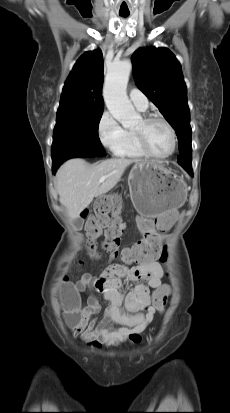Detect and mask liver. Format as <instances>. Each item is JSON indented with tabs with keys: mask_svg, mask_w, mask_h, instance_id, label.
I'll return each instance as SVG.
<instances>
[{
	"mask_svg": "<svg viewBox=\"0 0 230 413\" xmlns=\"http://www.w3.org/2000/svg\"><path fill=\"white\" fill-rule=\"evenodd\" d=\"M139 160L112 158L90 165L81 158L66 161L57 171V192L60 203L71 220L78 218L94 197L109 192L116 186L126 168ZM106 177L99 183L101 177Z\"/></svg>",
	"mask_w": 230,
	"mask_h": 413,
	"instance_id": "6515ba94",
	"label": "liver"
}]
</instances>
